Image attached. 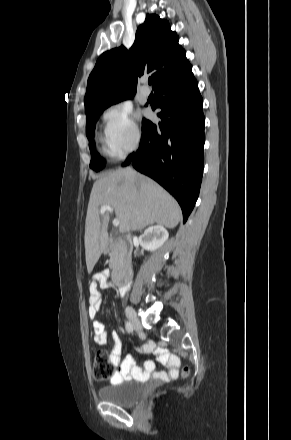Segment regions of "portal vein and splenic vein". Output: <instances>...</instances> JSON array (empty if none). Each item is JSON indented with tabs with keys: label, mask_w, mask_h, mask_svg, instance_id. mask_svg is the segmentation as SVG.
Returning a JSON list of instances; mask_svg holds the SVG:
<instances>
[{
	"label": "portal vein and splenic vein",
	"mask_w": 291,
	"mask_h": 440,
	"mask_svg": "<svg viewBox=\"0 0 291 440\" xmlns=\"http://www.w3.org/2000/svg\"><path fill=\"white\" fill-rule=\"evenodd\" d=\"M100 212H101V214H104L105 212H110V213H112L113 212V209L110 207V206H102L101 208H100ZM113 225L115 226V227H118L119 226V220L118 219H114L113 220Z\"/></svg>",
	"instance_id": "portal-vein-and-splenic-vein-1"
}]
</instances>
